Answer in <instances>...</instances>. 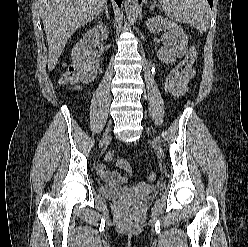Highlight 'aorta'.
Segmentation results:
<instances>
[{
    "mask_svg": "<svg viewBox=\"0 0 248 247\" xmlns=\"http://www.w3.org/2000/svg\"><path fill=\"white\" fill-rule=\"evenodd\" d=\"M125 11L131 24H134L138 17L139 0H125Z\"/></svg>",
    "mask_w": 248,
    "mask_h": 247,
    "instance_id": "762f6f07",
    "label": "aorta"
}]
</instances>
